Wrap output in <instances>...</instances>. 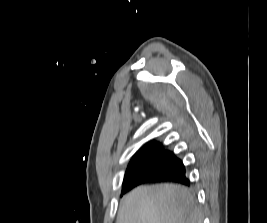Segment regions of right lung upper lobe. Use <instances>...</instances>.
<instances>
[{
	"mask_svg": "<svg viewBox=\"0 0 267 223\" xmlns=\"http://www.w3.org/2000/svg\"><path fill=\"white\" fill-rule=\"evenodd\" d=\"M165 151L158 142H149L145 144L132 158L129 165L142 162L155 157L158 153Z\"/></svg>",
	"mask_w": 267,
	"mask_h": 223,
	"instance_id": "cb5924a9",
	"label": "right lung upper lobe"
}]
</instances>
